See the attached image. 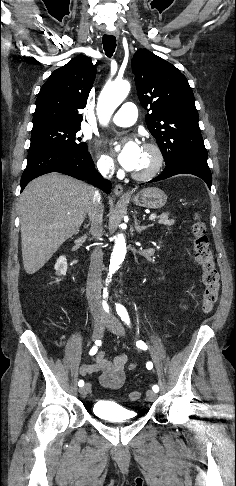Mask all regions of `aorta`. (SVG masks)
Returning <instances> with one entry per match:
<instances>
[{"label": "aorta", "instance_id": "obj_1", "mask_svg": "<svg viewBox=\"0 0 236 486\" xmlns=\"http://www.w3.org/2000/svg\"><path fill=\"white\" fill-rule=\"evenodd\" d=\"M130 91V83L126 80L115 81L105 85L98 103V116L101 122H107L114 110L122 103ZM126 241L123 234L115 237V245L110 259L109 276L111 277L120 267L126 255ZM107 294V288H104Z\"/></svg>", "mask_w": 236, "mask_h": 486}]
</instances>
